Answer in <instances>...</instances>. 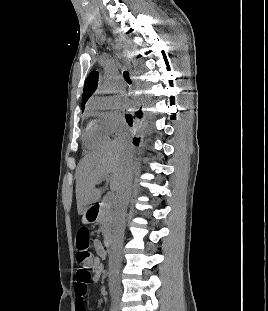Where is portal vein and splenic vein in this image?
<instances>
[{
	"label": "portal vein and splenic vein",
	"instance_id": "obj_1",
	"mask_svg": "<svg viewBox=\"0 0 268 311\" xmlns=\"http://www.w3.org/2000/svg\"><path fill=\"white\" fill-rule=\"evenodd\" d=\"M109 181L110 180V178L109 177H105L103 180H101V181ZM101 181H99V183L101 182Z\"/></svg>",
	"mask_w": 268,
	"mask_h": 311
}]
</instances>
